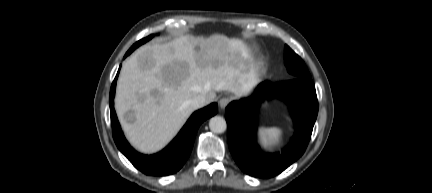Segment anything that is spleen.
I'll return each instance as SVG.
<instances>
[{"instance_id": "obj_1", "label": "spleen", "mask_w": 432, "mask_h": 193, "mask_svg": "<svg viewBox=\"0 0 432 193\" xmlns=\"http://www.w3.org/2000/svg\"><path fill=\"white\" fill-rule=\"evenodd\" d=\"M258 138L261 146L265 149L277 146L282 140V130L277 127L258 129Z\"/></svg>"}]
</instances>
